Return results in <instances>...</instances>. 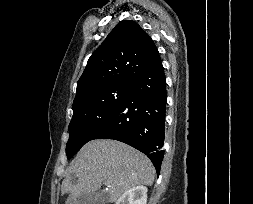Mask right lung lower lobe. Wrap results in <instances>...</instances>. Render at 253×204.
<instances>
[{
	"instance_id": "obj_1",
	"label": "right lung lower lobe",
	"mask_w": 253,
	"mask_h": 204,
	"mask_svg": "<svg viewBox=\"0 0 253 204\" xmlns=\"http://www.w3.org/2000/svg\"><path fill=\"white\" fill-rule=\"evenodd\" d=\"M166 77L158 55L130 86L121 105L93 139H115L146 154L159 175L164 150Z\"/></svg>"
}]
</instances>
